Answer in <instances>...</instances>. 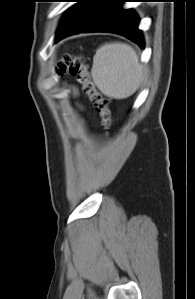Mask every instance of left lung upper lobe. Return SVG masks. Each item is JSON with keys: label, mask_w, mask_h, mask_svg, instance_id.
<instances>
[{"label": "left lung upper lobe", "mask_w": 195, "mask_h": 299, "mask_svg": "<svg viewBox=\"0 0 195 299\" xmlns=\"http://www.w3.org/2000/svg\"><path fill=\"white\" fill-rule=\"evenodd\" d=\"M77 2L78 3L65 14V17L61 23L60 29L69 25L78 16V14L83 9V7L86 5L88 0H77Z\"/></svg>", "instance_id": "obj_1"}]
</instances>
